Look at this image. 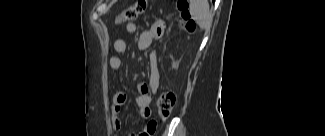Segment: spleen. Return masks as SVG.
<instances>
[{
	"mask_svg": "<svg viewBox=\"0 0 325 136\" xmlns=\"http://www.w3.org/2000/svg\"><path fill=\"white\" fill-rule=\"evenodd\" d=\"M192 18L203 29H209L212 18L209 13V4L207 0L193 1L191 6Z\"/></svg>",
	"mask_w": 325,
	"mask_h": 136,
	"instance_id": "3e777b00",
	"label": "spleen"
}]
</instances>
